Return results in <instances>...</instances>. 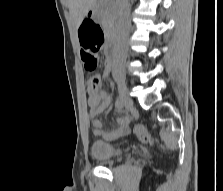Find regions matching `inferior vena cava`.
<instances>
[{
	"label": "inferior vena cava",
	"instance_id": "obj_1",
	"mask_svg": "<svg viewBox=\"0 0 223 191\" xmlns=\"http://www.w3.org/2000/svg\"><path fill=\"white\" fill-rule=\"evenodd\" d=\"M116 11L118 18V33L115 40L116 56L113 67V73L115 75L121 73L119 68L120 60H124L126 57L125 42L131 26L128 0H116Z\"/></svg>",
	"mask_w": 223,
	"mask_h": 191
}]
</instances>
